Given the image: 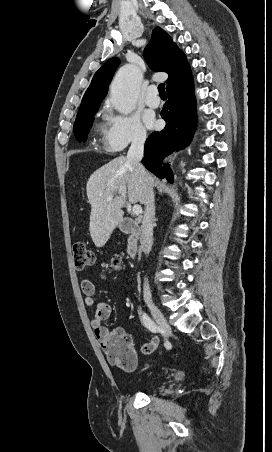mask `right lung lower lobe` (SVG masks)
I'll return each instance as SVG.
<instances>
[{"label": "right lung lower lobe", "mask_w": 272, "mask_h": 452, "mask_svg": "<svg viewBox=\"0 0 272 452\" xmlns=\"http://www.w3.org/2000/svg\"><path fill=\"white\" fill-rule=\"evenodd\" d=\"M193 77L168 91V102L161 116L166 127L146 140L144 166L157 177L173 183L170 165L162 166V158L189 145L196 126Z\"/></svg>", "instance_id": "1"}]
</instances>
